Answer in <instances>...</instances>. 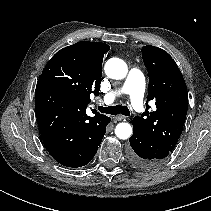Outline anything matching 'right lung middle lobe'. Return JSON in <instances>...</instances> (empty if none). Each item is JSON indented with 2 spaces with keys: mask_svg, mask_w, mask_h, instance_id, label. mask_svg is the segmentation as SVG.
<instances>
[{
  "mask_svg": "<svg viewBox=\"0 0 211 211\" xmlns=\"http://www.w3.org/2000/svg\"><path fill=\"white\" fill-rule=\"evenodd\" d=\"M38 82L60 88L73 94L81 101L83 100L79 87L74 80L65 74V69H63L60 61H49L39 76Z\"/></svg>",
  "mask_w": 211,
  "mask_h": 211,
  "instance_id": "obj_1",
  "label": "right lung middle lobe"
}]
</instances>
